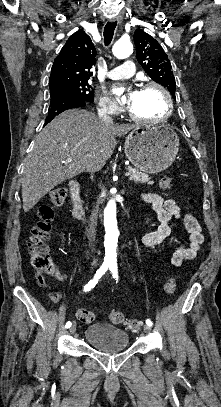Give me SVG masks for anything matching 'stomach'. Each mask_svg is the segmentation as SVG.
<instances>
[{
  "label": "stomach",
  "instance_id": "obj_1",
  "mask_svg": "<svg viewBox=\"0 0 221 407\" xmlns=\"http://www.w3.org/2000/svg\"><path fill=\"white\" fill-rule=\"evenodd\" d=\"M125 154L139 170L157 174L166 170L179 150L176 132L167 125L136 126L126 137Z\"/></svg>",
  "mask_w": 221,
  "mask_h": 407
}]
</instances>
